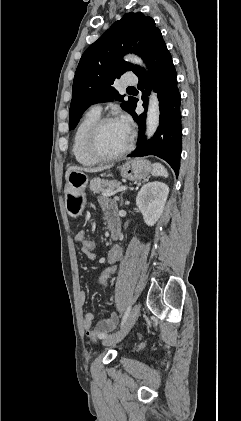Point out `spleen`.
Instances as JSON below:
<instances>
[{"label": "spleen", "instance_id": "3e777b00", "mask_svg": "<svg viewBox=\"0 0 241 421\" xmlns=\"http://www.w3.org/2000/svg\"><path fill=\"white\" fill-rule=\"evenodd\" d=\"M152 175L153 176L168 177V172L162 164L155 163V164H153Z\"/></svg>", "mask_w": 241, "mask_h": 421}]
</instances>
